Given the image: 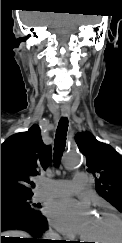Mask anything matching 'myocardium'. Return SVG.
<instances>
[{
    "mask_svg": "<svg viewBox=\"0 0 122 243\" xmlns=\"http://www.w3.org/2000/svg\"><path fill=\"white\" fill-rule=\"evenodd\" d=\"M99 214L110 217L117 223L119 234L117 240L114 241V243H122V217L117 213L109 210H101L99 211Z\"/></svg>",
    "mask_w": 122,
    "mask_h": 243,
    "instance_id": "obj_1",
    "label": "myocardium"
}]
</instances>
